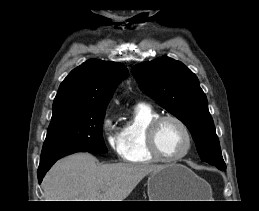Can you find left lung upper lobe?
I'll return each mask as SVG.
<instances>
[{
	"label": "left lung upper lobe",
	"instance_id": "5c2ea615",
	"mask_svg": "<svg viewBox=\"0 0 259 211\" xmlns=\"http://www.w3.org/2000/svg\"><path fill=\"white\" fill-rule=\"evenodd\" d=\"M132 72L144 93L187 126L201 160L225 170L207 98L196 75L167 56L135 65Z\"/></svg>",
	"mask_w": 259,
	"mask_h": 211
}]
</instances>
